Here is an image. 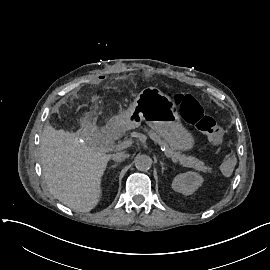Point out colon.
<instances>
[{
  "label": "colon",
  "mask_w": 270,
  "mask_h": 270,
  "mask_svg": "<svg viewBox=\"0 0 270 270\" xmlns=\"http://www.w3.org/2000/svg\"><path fill=\"white\" fill-rule=\"evenodd\" d=\"M172 95L174 103L185 121L205 134L213 145H222L224 141L222 129L211 116L203 112L200 103L195 97L189 93L180 92L172 93ZM223 171L225 173H232L234 171V154L232 152H225L223 154Z\"/></svg>",
  "instance_id": "colon-1"
}]
</instances>
